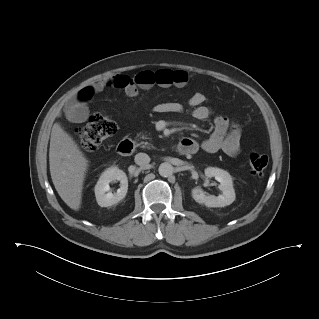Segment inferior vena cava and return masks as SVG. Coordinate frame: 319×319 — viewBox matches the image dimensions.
<instances>
[{"label":"inferior vena cava","instance_id":"inferior-vena-cava-1","mask_svg":"<svg viewBox=\"0 0 319 319\" xmlns=\"http://www.w3.org/2000/svg\"><path fill=\"white\" fill-rule=\"evenodd\" d=\"M134 160L137 165L146 166L150 162V157L146 153H138Z\"/></svg>","mask_w":319,"mask_h":319}]
</instances>
